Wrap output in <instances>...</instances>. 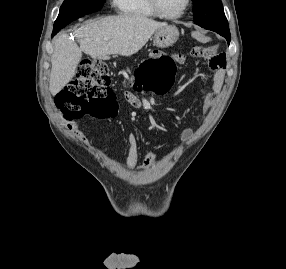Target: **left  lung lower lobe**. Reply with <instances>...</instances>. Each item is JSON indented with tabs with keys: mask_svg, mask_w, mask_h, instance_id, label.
I'll return each instance as SVG.
<instances>
[{
	"mask_svg": "<svg viewBox=\"0 0 286 269\" xmlns=\"http://www.w3.org/2000/svg\"><path fill=\"white\" fill-rule=\"evenodd\" d=\"M218 34H220L221 36L225 37L228 44L230 42V32L229 30H226V31H217Z\"/></svg>",
	"mask_w": 286,
	"mask_h": 269,
	"instance_id": "left-lung-lower-lobe-1",
	"label": "left lung lower lobe"
}]
</instances>
